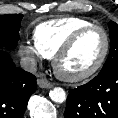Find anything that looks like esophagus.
<instances>
[{
    "label": "esophagus",
    "instance_id": "esophagus-1",
    "mask_svg": "<svg viewBox=\"0 0 118 118\" xmlns=\"http://www.w3.org/2000/svg\"><path fill=\"white\" fill-rule=\"evenodd\" d=\"M37 83L39 85L40 88H45V89H49L53 87V84L50 83L45 77H40L37 80Z\"/></svg>",
    "mask_w": 118,
    "mask_h": 118
}]
</instances>
